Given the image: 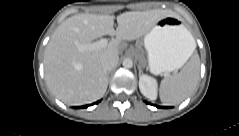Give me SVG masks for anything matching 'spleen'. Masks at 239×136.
<instances>
[{"label":"spleen","mask_w":239,"mask_h":136,"mask_svg":"<svg viewBox=\"0 0 239 136\" xmlns=\"http://www.w3.org/2000/svg\"><path fill=\"white\" fill-rule=\"evenodd\" d=\"M191 47L193 53L196 47L193 37ZM199 74L200 60L198 56H193L179 73L166 76L161 81L159 90L161 102L164 105H176L185 100L196 89Z\"/></svg>","instance_id":"obj_1"}]
</instances>
